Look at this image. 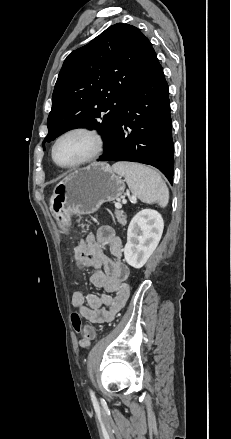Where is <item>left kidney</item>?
Instances as JSON below:
<instances>
[{"label": "left kidney", "mask_w": 231, "mask_h": 439, "mask_svg": "<svg viewBox=\"0 0 231 439\" xmlns=\"http://www.w3.org/2000/svg\"><path fill=\"white\" fill-rule=\"evenodd\" d=\"M163 228V218L155 210H141L132 218L124 247V257L130 266L136 269L144 266L156 249Z\"/></svg>", "instance_id": "left-kidney-1"}]
</instances>
